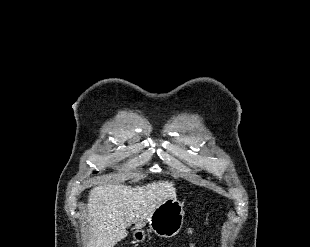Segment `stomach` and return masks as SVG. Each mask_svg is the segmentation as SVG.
<instances>
[{
  "label": "stomach",
  "mask_w": 310,
  "mask_h": 247,
  "mask_svg": "<svg viewBox=\"0 0 310 247\" xmlns=\"http://www.w3.org/2000/svg\"><path fill=\"white\" fill-rule=\"evenodd\" d=\"M184 215L183 204L180 201L164 200L156 207L149 219L150 229L159 237H173L182 228ZM132 236L135 243H143L146 238L145 231L141 228H136Z\"/></svg>",
  "instance_id": "obj_1"
}]
</instances>
